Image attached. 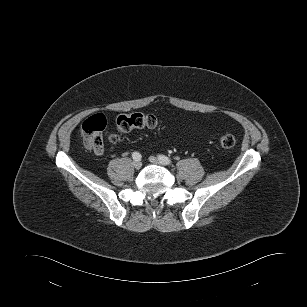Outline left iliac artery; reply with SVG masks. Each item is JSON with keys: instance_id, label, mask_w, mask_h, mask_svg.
Listing matches in <instances>:
<instances>
[{"instance_id": "obj_1", "label": "left iliac artery", "mask_w": 307, "mask_h": 307, "mask_svg": "<svg viewBox=\"0 0 307 307\" xmlns=\"http://www.w3.org/2000/svg\"><path fill=\"white\" fill-rule=\"evenodd\" d=\"M158 159L160 160V162L166 165H170L172 163L171 159L166 157L165 155H159Z\"/></svg>"}]
</instances>
